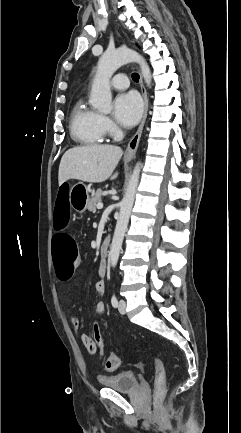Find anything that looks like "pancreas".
I'll return each instance as SVG.
<instances>
[{
  "label": "pancreas",
  "mask_w": 241,
  "mask_h": 433,
  "mask_svg": "<svg viewBox=\"0 0 241 433\" xmlns=\"http://www.w3.org/2000/svg\"><path fill=\"white\" fill-rule=\"evenodd\" d=\"M101 200H102V190L99 189L90 198L88 206H87L88 210L91 212H95L96 208H97V204L100 203Z\"/></svg>",
  "instance_id": "1"
}]
</instances>
